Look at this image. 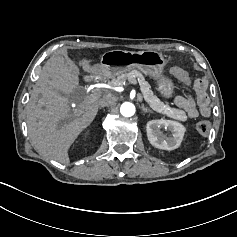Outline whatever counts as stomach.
Returning <instances> with one entry per match:
<instances>
[{"label":"stomach","instance_id":"obj_1","mask_svg":"<svg viewBox=\"0 0 237 237\" xmlns=\"http://www.w3.org/2000/svg\"><path fill=\"white\" fill-rule=\"evenodd\" d=\"M166 59L162 53L147 50L131 52L123 50H111L101 56L97 69L106 78H114L133 68H137L145 75L151 76L157 81V90L166 98L172 97L175 85L171 79L165 77L163 73Z\"/></svg>","mask_w":237,"mask_h":237}]
</instances>
